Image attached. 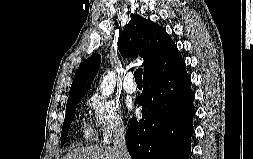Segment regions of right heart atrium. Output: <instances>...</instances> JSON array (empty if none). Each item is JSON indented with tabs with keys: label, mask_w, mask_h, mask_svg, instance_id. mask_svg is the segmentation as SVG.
<instances>
[{
	"label": "right heart atrium",
	"mask_w": 253,
	"mask_h": 159,
	"mask_svg": "<svg viewBox=\"0 0 253 159\" xmlns=\"http://www.w3.org/2000/svg\"><path fill=\"white\" fill-rule=\"evenodd\" d=\"M89 107L92 111V127L98 140L108 143L125 130V122L118 105L98 94L89 97Z\"/></svg>",
	"instance_id": "d8ad5b80"
}]
</instances>
